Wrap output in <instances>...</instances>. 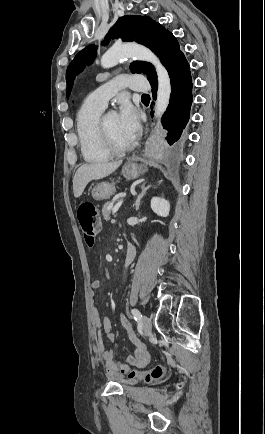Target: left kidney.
I'll list each match as a JSON object with an SVG mask.
<instances>
[{"instance_id":"5707ae66","label":"left kidney","mask_w":265,"mask_h":434,"mask_svg":"<svg viewBox=\"0 0 265 434\" xmlns=\"http://www.w3.org/2000/svg\"><path fill=\"white\" fill-rule=\"evenodd\" d=\"M151 208L157 216H162V218L169 216L170 204L168 200H164V198H152Z\"/></svg>"}]
</instances>
